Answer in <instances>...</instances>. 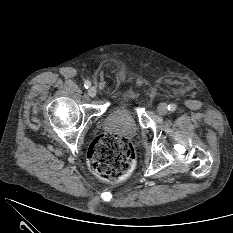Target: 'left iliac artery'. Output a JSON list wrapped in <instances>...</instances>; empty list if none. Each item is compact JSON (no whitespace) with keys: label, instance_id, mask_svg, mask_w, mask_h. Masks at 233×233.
<instances>
[{"label":"left iliac artery","instance_id":"obj_1","mask_svg":"<svg viewBox=\"0 0 233 233\" xmlns=\"http://www.w3.org/2000/svg\"><path fill=\"white\" fill-rule=\"evenodd\" d=\"M177 109V106L175 104H169L168 105V110L171 111V112H174L176 111Z\"/></svg>","mask_w":233,"mask_h":233}]
</instances>
